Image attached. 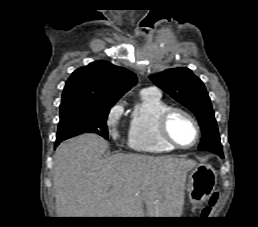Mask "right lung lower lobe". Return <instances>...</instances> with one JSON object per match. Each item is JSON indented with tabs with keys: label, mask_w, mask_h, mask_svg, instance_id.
<instances>
[{
	"label": "right lung lower lobe",
	"mask_w": 258,
	"mask_h": 227,
	"mask_svg": "<svg viewBox=\"0 0 258 227\" xmlns=\"http://www.w3.org/2000/svg\"><path fill=\"white\" fill-rule=\"evenodd\" d=\"M60 142H61V140H56L55 146H57Z\"/></svg>",
	"instance_id": "98d812e1"
}]
</instances>
